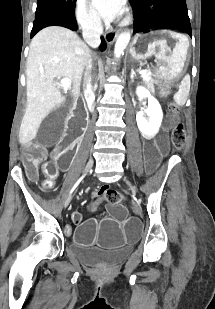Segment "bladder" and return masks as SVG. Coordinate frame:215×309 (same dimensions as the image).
<instances>
[{
  "instance_id": "1",
  "label": "bladder",
  "mask_w": 215,
  "mask_h": 309,
  "mask_svg": "<svg viewBox=\"0 0 215 309\" xmlns=\"http://www.w3.org/2000/svg\"><path fill=\"white\" fill-rule=\"evenodd\" d=\"M74 256L83 265L90 267L109 268L118 265L127 257L129 250L127 248L102 251V250H79L71 248Z\"/></svg>"
}]
</instances>
